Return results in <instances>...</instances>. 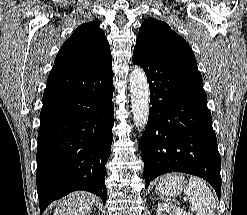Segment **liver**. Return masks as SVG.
<instances>
[{"label": "liver", "instance_id": "obj_1", "mask_svg": "<svg viewBox=\"0 0 247 215\" xmlns=\"http://www.w3.org/2000/svg\"><path fill=\"white\" fill-rule=\"evenodd\" d=\"M95 198L87 192H76L58 205L53 215H90Z\"/></svg>", "mask_w": 247, "mask_h": 215}]
</instances>
